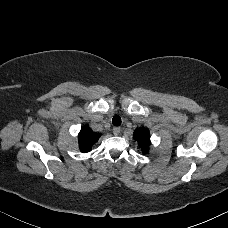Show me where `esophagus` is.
<instances>
[{
	"instance_id": "obj_1",
	"label": "esophagus",
	"mask_w": 228,
	"mask_h": 228,
	"mask_svg": "<svg viewBox=\"0 0 228 228\" xmlns=\"http://www.w3.org/2000/svg\"><path fill=\"white\" fill-rule=\"evenodd\" d=\"M120 131H121V129H120L119 127L113 128V134H114L115 136L119 135Z\"/></svg>"
}]
</instances>
